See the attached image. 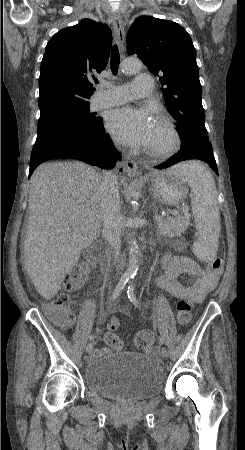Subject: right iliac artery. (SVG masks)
Listing matches in <instances>:
<instances>
[{
    "label": "right iliac artery",
    "mask_w": 245,
    "mask_h": 450,
    "mask_svg": "<svg viewBox=\"0 0 245 450\" xmlns=\"http://www.w3.org/2000/svg\"><path fill=\"white\" fill-rule=\"evenodd\" d=\"M130 276L129 275H123L119 281V283L117 284V286L115 287L113 293H112V300H115L122 292V290L124 289V287L126 286L127 282L129 281ZM93 335L89 336V340H93Z\"/></svg>",
    "instance_id": "1"
}]
</instances>
